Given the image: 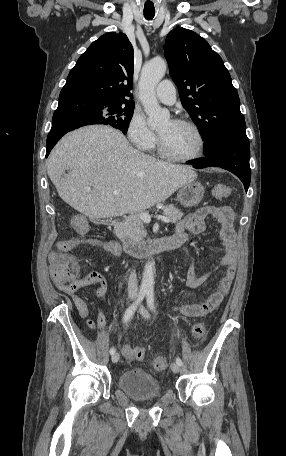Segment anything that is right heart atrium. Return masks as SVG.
Returning <instances> with one entry per match:
<instances>
[{"instance_id": "d8ad5b80", "label": "right heart atrium", "mask_w": 286, "mask_h": 456, "mask_svg": "<svg viewBox=\"0 0 286 456\" xmlns=\"http://www.w3.org/2000/svg\"><path fill=\"white\" fill-rule=\"evenodd\" d=\"M127 136L133 146L147 150L153 147L156 142V134L149 127L145 115L135 110L127 124Z\"/></svg>"}]
</instances>
